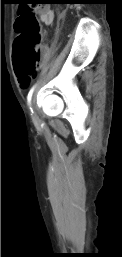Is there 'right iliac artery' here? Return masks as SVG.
Segmentation results:
<instances>
[{
	"label": "right iliac artery",
	"instance_id": "obj_1",
	"mask_svg": "<svg viewBox=\"0 0 122 257\" xmlns=\"http://www.w3.org/2000/svg\"><path fill=\"white\" fill-rule=\"evenodd\" d=\"M34 88H35V86H33V87L30 89L29 93H28V96H27L28 104H30V101H31V97H32Z\"/></svg>",
	"mask_w": 122,
	"mask_h": 257
}]
</instances>
